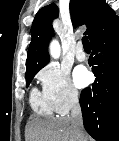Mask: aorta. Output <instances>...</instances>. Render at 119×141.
Returning a JSON list of instances; mask_svg holds the SVG:
<instances>
[{
	"instance_id": "obj_1",
	"label": "aorta",
	"mask_w": 119,
	"mask_h": 141,
	"mask_svg": "<svg viewBox=\"0 0 119 141\" xmlns=\"http://www.w3.org/2000/svg\"><path fill=\"white\" fill-rule=\"evenodd\" d=\"M50 55L53 58H58L60 56V45L56 40H53L50 44Z\"/></svg>"
}]
</instances>
